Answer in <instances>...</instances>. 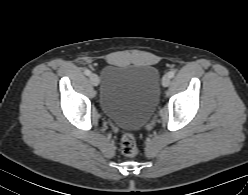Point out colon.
I'll list each match as a JSON object with an SVG mask.
<instances>
[{
    "label": "colon",
    "instance_id": "obj_1",
    "mask_svg": "<svg viewBox=\"0 0 248 195\" xmlns=\"http://www.w3.org/2000/svg\"><path fill=\"white\" fill-rule=\"evenodd\" d=\"M121 152L128 157L135 156L137 154V144L133 134L126 133L121 139Z\"/></svg>",
    "mask_w": 248,
    "mask_h": 195
}]
</instances>
